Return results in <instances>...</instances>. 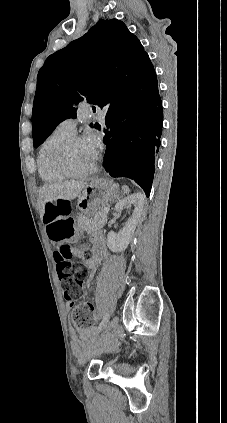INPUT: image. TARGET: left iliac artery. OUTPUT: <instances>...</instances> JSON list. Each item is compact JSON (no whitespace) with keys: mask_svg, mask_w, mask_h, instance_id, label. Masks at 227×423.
I'll list each match as a JSON object with an SVG mask.
<instances>
[{"mask_svg":"<svg viewBox=\"0 0 227 423\" xmlns=\"http://www.w3.org/2000/svg\"><path fill=\"white\" fill-rule=\"evenodd\" d=\"M109 317L110 316H109L108 313L103 317V320L100 322L98 329H97L98 333L101 332L106 327V324L109 321Z\"/></svg>","mask_w":227,"mask_h":423,"instance_id":"44dca946","label":"left iliac artery"}]
</instances>
